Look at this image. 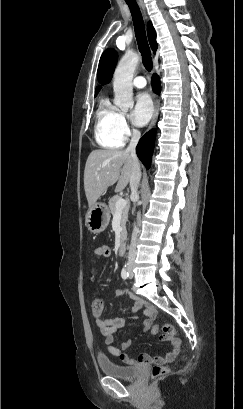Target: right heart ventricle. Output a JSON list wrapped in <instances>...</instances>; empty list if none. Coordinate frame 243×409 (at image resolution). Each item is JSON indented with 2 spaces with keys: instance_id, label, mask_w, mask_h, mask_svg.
<instances>
[{
  "instance_id": "e07e8e85",
  "label": "right heart ventricle",
  "mask_w": 243,
  "mask_h": 409,
  "mask_svg": "<svg viewBox=\"0 0 243 409\" xmlns=\"http://www.w3.org/2000/svg\"><path fill=\"white\" fill-rule=\"evenodd\" d=\"M118 113L108 97L100 100L96 111L95 138L102 147L116 149L123 146L124 139L115 127Z\"/></svg>"
}]
</instances>
